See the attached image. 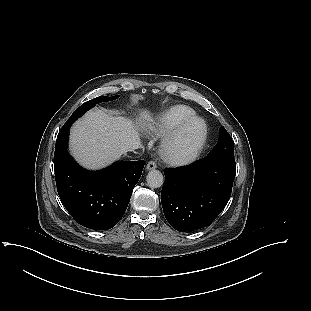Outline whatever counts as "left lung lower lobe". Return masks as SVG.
I'll return each instance as SVG.
<instances>
[{
  "label": "left lung lower lobe",
  "mask_w": 311,
  "mask_h": 311,
  "mask_svg": "<svg viewBox=\"0 0 311 311\" xmlns=\"http://www.w3.org/2000/svg\"><path fill=\"white\" fill-rule=\"evenodd\" d=\"M234 159L206 157L179 169H166L161 202L176 230L209 226L229 201L235 178Z\"/></svg>",
  "instance_id": "1"
}]
</instances>
